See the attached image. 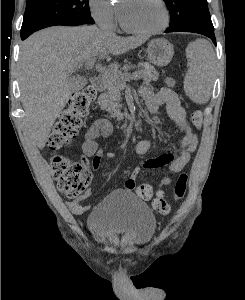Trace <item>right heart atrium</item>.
Listing matches in <instances>:
<instances>
[{
	"mask_svg": "<svg viewBox=\"0 0 245 300\" xmlns=\"http://www.w3.org/2000/svg\"><path fill=\"white\" fill-rule=\"evenodd\" d=\"M89 8L98 24L109 29L116 27L118 10L111 0H89Z\"/></svg>",
	"mask_w": 245,
	"mask_h": 300,
	"instance_id": "right-heart-atrium-1",
	"label": "right heart atrium"
}]
</instances>
